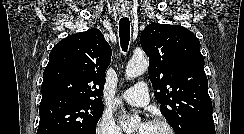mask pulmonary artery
Segmentation results:
<instances>
[{
    "mask_svg": "<svg viewBox=\"0 0 244 134\" xmlns=\"http://www.w3.org/2000/svg\"><path fill=\"white\" fill-rule=\"evenodd\" d=\"M121 98L134 106H144L149 102L148 87L145 82H139L133 87L127 89Z\"/></svg>",
    "mask_w": 244,
    "mask_h": 134,
    "instance_id": "1",
    "label": "pulmonary artery"
}]
</instances>
